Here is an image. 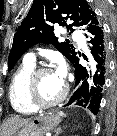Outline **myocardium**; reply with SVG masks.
Segmentation results:
<instances>
[{
	"label": "myocardium",
	"instance_id": "f54148a6",
	"mask_svg": "<svg viewBox=\"0 0 117 136\" xmlns=\"http://www.w3.org/2000/svg\"><path fill=\"white\" fill-rule=\"evenodd\" d=\"M53 71L50 67L42 66L35 68L27 82V99L30 102V104L35 107L36 109H48L54 106H57L60 104L67 96L69 87L66 82H64V88L62 93L58 98H56L53 101L50 102H42L38 97V79L41 74L45 72H51Z\"/></svg>",
	"mask_w": 117,
	"mask_h": 136
}]
</instances>
